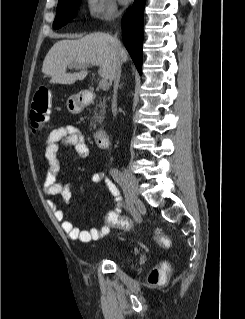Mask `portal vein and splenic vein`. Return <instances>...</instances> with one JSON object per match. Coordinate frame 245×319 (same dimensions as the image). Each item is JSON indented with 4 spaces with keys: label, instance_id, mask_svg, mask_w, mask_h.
Returning a JSON list of instances; mask_svg holds the SVG:
<instances>
[{
    "label": "portal vein and splenic vein",
    "instance_id": "18ae733b",
    "mask_svg": "<svg viewBox=\"0 0 245 319\" xmlns=\"http://www.w3.org/2000/svg\"><path fill=\"white\" fill-rule=\"evenodd\" d=\"M72 65H73V67H77L79 69H85L88 67L87 65H84V64H72ZM99 86L101 87L102 90L106 91L109 88V83L107 82L106 79L102 78L99 81Z\"/></svg>",
    "mask_w": 245,
    "mask_h": 319
}]
</instances>
